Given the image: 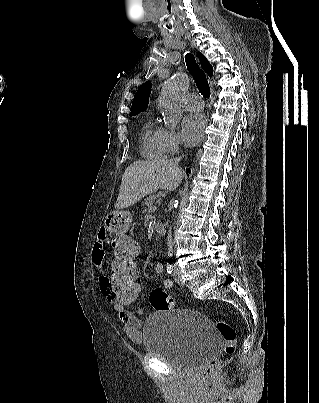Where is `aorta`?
Returning a JSON list of instances; mask_svg holds the SVG:
<instances>
[{
  "label": "aorta",
  "mask_w": 319,
  "mask_h": 403,
  "mask_svg": "<svg viewBox=\"0 0 319 403\" xmlns=\"http://www.w3.org/2000/svg\"><path fill=\"white\" fill-rule=\"evenodd\" d=\"M188 87V79L184 74L176 73L163 85L159 107L168 127H175L182 118V97Z\"/></svg>",
  "instance_id": "762f6f07"
}]
</instances>
